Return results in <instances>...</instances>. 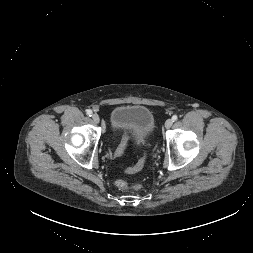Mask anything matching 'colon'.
<instances>
[{"label": "colon", "instance_id": "obj_1", "mask_svg": "<svg viewBox=\"0 0 253 253\" xmlns=\"http://www.w3.org/2000/svg\"><path fill=\"white\" fill-rule=\"evenodd\" d=\"M127 141H128V139L126 137L123 140L122 144L120 145V147L117 151V155H120L124 151V149L127 145ZM146 159H147L146 156H144L137 165H135L134 167L128 168L127 172L134 173V172L140 170L144 166V164L146 162ZM116 186L121 190L129 189V188H139L140 187V185H133L131 182H129L127 180H124V179H118L116 181Z\"/></svg>", "mask_w": 253, "mask_h": 253}]
</instances>
